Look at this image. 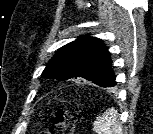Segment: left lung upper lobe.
Segmentation results:
<instances>
[{"label": "left lung upper lobe", "instance_id": "5c2ea615", "mask_svg": "<svg viewBox=\"0 0 153 134\" xmlns=\"http://www.w3.org/2000/svg\"><path fill=\"white\" fill-rule=\"evenodd\" d=\"M42 76L58 81L86 79L101 87L116 85L108 48L101 39L90 36L79 37L61 47L47 64Z\"/></svg>", "mask_w": 153, "mask_h": 134}]
</instances>
